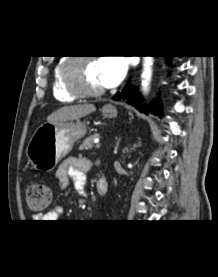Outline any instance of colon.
Here are the masks:
<instances>
[{"mask_svg": "<svg viewBox=\"0 0 218 277\" xmlns=\"http://www.w3.org/2000/svg\"><path fill=\"white\" fill-rule=\"evenodd\" d=\"M26 199L28 207L36 212L44 211L51 203L52 191L41 182H33L27 186Z\"/></svg>", "mask_w": 218, "mask_h": 277, "instance_id": "obj_1", "label": "colon"}]
</instances>
